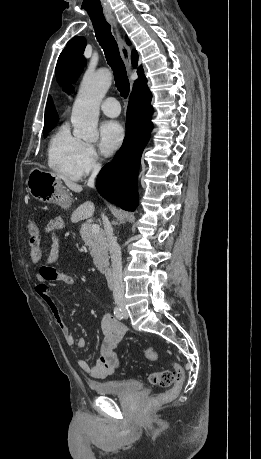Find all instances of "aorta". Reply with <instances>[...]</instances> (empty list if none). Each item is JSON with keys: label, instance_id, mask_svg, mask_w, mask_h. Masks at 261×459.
Masks as SVG:
<instances>
[{"label": "aorta", "instance_id": "obj_1", "mask_svg": "<svg viewBox=\"0 0 261 459\" xmlns=\"http://www.w3.org/2000/svg\"><path fill=\"white\" fill-rule=\"evenodd\" d=\"M112 83V74L107 69L87 73L81 83L73 105L71 121L75 137L93 142L98 138L99 108Z\"/></svg>", "mask_w": 261, "mask_h": 459}]
</instances>
